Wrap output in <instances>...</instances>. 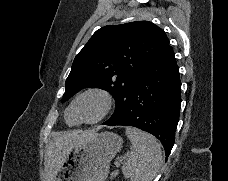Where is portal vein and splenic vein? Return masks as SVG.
Listing matches in <instances>:
<instances>
[{
	"label": "portal vein and splenic vein",
	"mask_w": 228,
	"mask_h": 181,
	"mask_svg": "<svg viewBox=\"0 0 228 181\" xmlns=\"http://www.w3.org/2000/svg\"><path fill=\"white\" fill-rule=\"evenodd\" d=\"M129 155H130V153H127V155H125V157H121V159H122V161H123V159H126V157H129ZM116 167H121L120 165H119V163H116Z\"/></svg>",
	"instance_id": "1"
}]
</instances>
